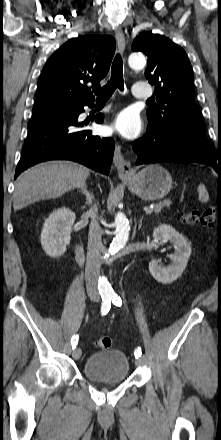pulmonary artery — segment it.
Wrapping results in <instances>:
<instances>
[{
	"label": "pulmonary artery",
	"mask_w": 221,
	"mask_h": 440,
	"mask_svg": "<svg viewBox=\"0 0 221 440\" xmlns=\"http://www.w3.org/2000/svg\"><path fill=\"white\" fill-rule=\"evenodd\" d=\"M132 91L135 97L141 99H147L152 94L151 90L144 83L141 82L135 83L133 85Z\"/></svg>",
	"instance_id": "1"
}]
</instances>
